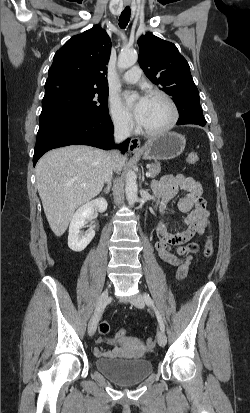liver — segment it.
I'll return each instance as SVG.
<instances>
[{"instance_id":"obj_1","label":"liver","mask_w":250,"mask_h":413,"mask_svg":"<svg viewBox=\"0 0 250 413\" xmlns=\"http://www.w3.org/2000/svg\"><path fill=\"white\" fill-rule=\"evenodd\" d=\"M118 155L116 170L125 165ZM107 152L72 145L47 152L36 165V184L49 226L62 236L74 211L97 196L105 182Z\"/></svg>"}]
</instances>
